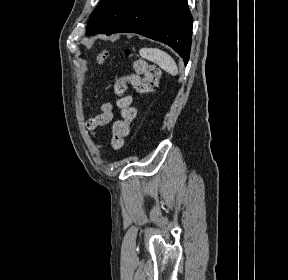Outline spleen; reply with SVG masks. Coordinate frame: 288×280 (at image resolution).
<instances>
[{"label": "spleen", "mask_w": 288, "mask_h": 280, "mask_svg": "<svg viewBox=\"0 0 288 280\" xmlns=\"http://www.w3.org/2000/svg\"><path fill=\"white\" fill-rule=\"evenodd\" d=\"M140 56L156 63L160 68L175 76L178 74V67L174 59L165 51L158 48H141Z\"/></svg>", "instance_id": "3e777b00"}]
</instances>
